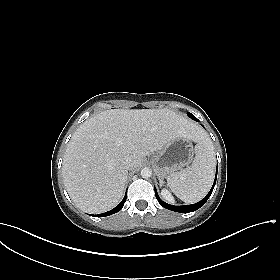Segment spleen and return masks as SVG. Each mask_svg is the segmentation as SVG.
<instances>
[{"mask_svg":"<svg viewBox=\"0 0 280 280\" xmlns=\"http://www.w3.org/2000/svg\"><path fill=\"white\" fill-rule=\"evenodd\" d=\"M192 164L180 172L171 174L167 183L172 192L185 203L200 201L209 192L215 170V156L211 143L204 138L195 146Z\"/></svg>","mask_w":280,"mask_h":280,"instance_id":"1","label":"spleen"}]
</instances>
